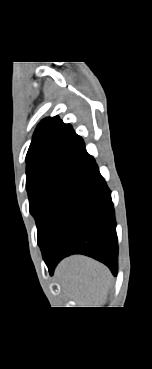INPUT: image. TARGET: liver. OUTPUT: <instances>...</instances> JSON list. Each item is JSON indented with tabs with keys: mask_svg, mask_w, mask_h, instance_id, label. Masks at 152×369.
Instances as JSON below:
<instances>
[{
	"mask_svg": "<svg viewBox=\"0 0 152 369\" xmlns=\"http://www.w3.org/2000/svg\"><path fill=\"white\" fill-rule=\"evenodd\" d=\"M56 277L78 305L105 304L112 284L106 266L80 255L63 260L56 269Z\"/></svg>",
	"mask_w": 152,
	"mask_h": 369,
	"instance_id": "1",
	"label": "liver"
}]
</instances>
